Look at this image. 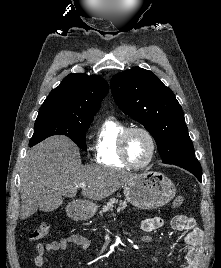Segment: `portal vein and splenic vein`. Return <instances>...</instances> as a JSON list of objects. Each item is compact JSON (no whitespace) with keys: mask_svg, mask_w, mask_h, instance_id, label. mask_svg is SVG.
<instances>
[{"mask_svg":"<svg viewBox=\"0 0 221 268\" xmlns=\"http://www.w3.org/2000/svg\"><path fill=\"white\" fill-rule=\"evenodd\" d=\"M86 186H87V185H86L85 183H80V184L78 185V187H80V188H82V189H83V188H86Z\"/></svg>","mask_w":221,"mask_h":268,"instance_id":"portal-vein-and-splenic-vein-1","label":"portal vein and splenic vein"}]
</instances>
